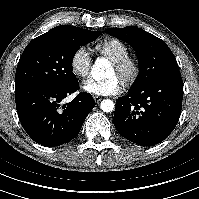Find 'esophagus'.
<instances>
[{
    "instance_id": "1",
    "label": "esophagus",
    "mask_w": 199,
    "mask_h": 199,
    "mask_svg": "<svg viewBox=\"0 0 199 199\" xmlns=\"http://www.w3.org/2000/svg\"><path fill=\"white\" fill-rule=\"evenodd\" d=\"M93 98H94L95 102H97V103H99L103 99L102 97L97 96V95H94Z\"/></svg>"
}]
</instances>
